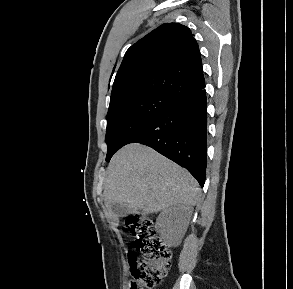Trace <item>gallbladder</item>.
<instances>
[{"label":"gallbladder","mask_w":293,"mask_h":289,"mask_svg":"<svg viewBox=\"0 0 293 289\" xmlns=\"http://www.w3.org/2000/svg\"><path fill=\"white\" fill-rule=\"evenodd\" d=\"M111 210L118 217H124L129 213V208L126 203H115L111 205Z\"/></svg>","instance_id":"bac80fb5"}]
</instances>
